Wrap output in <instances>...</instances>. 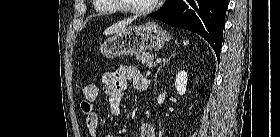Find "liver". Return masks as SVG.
Masks as SVG:
<instances>
[{"instance_id":"liver-1","label":"liver","mask_w":280,"mask_h":137,"mask_svg":"<svg viewBox=\"0 0 280 137\" xmlns=\"http://www.w3.org/2000/svg\"><path fill=\"white\" fill-rule=\"evenodd\" d=\"M135 19V17H131L125 20H122L110 27H108L105 31L104 34L106 35H110V34H114V33H118L121 30H123L125 28L126 25L130 24L133 20Z\"/></svg>"}]
</instances>
